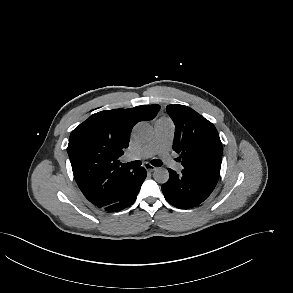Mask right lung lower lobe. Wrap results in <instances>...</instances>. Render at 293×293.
<instances>
[{
  "instance_id": "1",
  "label": "right lung lower lobe",
  "mask_w": 293,
  "mask_h": 293,
  "mask_svg": "<svg viewBox=\"0 0 293 293\" xmlns=\"http://www.w3.org/2000/svg\"><path fill=\"white\" fill-rule=\"evenodd\" d=\"M145 178L146 170L143 167L136 169L134 180L125 195L118 202L105 206V210L116 212L133 204Z\"/></svg>"
}]
</instances>
